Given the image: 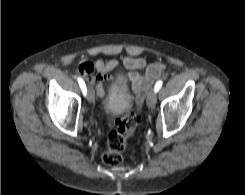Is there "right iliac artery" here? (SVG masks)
I'll return each mask as SVG.
<instances>
[{
  "label": "right iliac artery",
  "mask_w": 245,
  "mask_h": 195,
  "mask_svg": "<svg viewBox=\"0 0 245 195\" xmlns=\"http://www.w3.org/2000/svg\"><path fill=\"white\" fill-rule=\"evenodd\" d=\"M77 80H78L79 86H80L83 94L86 95L87 88H86V84H85L84 80L82 78H80V77Z\"/></svg>",
  "instance_id": "right-iliac-artery-1"
}]
</instances>
